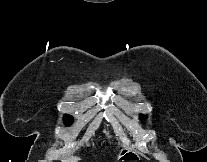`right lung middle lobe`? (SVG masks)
<instances>
[{
    "label": "right lung middle lobe",
    "instance_id": "obj_1",
    "mask_svg": "<svg viewBox=\"0 0 207 162\" xmlns=\"http://www.w3.org/2000/svg\"><path fill=\"white\" fill-rule=\"evenodd\" d=\"M64 123H65L66 125H70V124H72V123H73V119H72V117L69 116V115H65V116H64Z\"/></svg>",
    "mask_w": 207,
    "mask_h": 162
}]
</instances>
